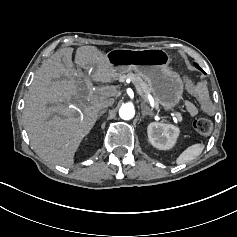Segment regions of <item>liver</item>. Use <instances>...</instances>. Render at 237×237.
Wrapping results in <instances>:
<instances>
[{
	"label": "liver",
	"instance_id": "obj_1",
	"mask_svg": "<svg viewBox=\"0 0 237 237\" xmlns=\"http://www.w3.org/2000/svg\"><path fill=\"white\" fill-rule=\"evenodd\" d=\"M72 52L70 47L60 49L45 61L29 87L23 110L26 131L35 153L46 162L64 167L73 165L74 154L94 126L102 101L117 95L115 86L100 87L91 105L79 111L84 102L79 103L77 94L84 84L82 74L73 68ZM75 63L91 70L93 81L110 83L115 78L104 54L94 46L79 47Z\"/></svg>",
	"mask_w": 237,
	"mask_h": 237
}]
</instances>
